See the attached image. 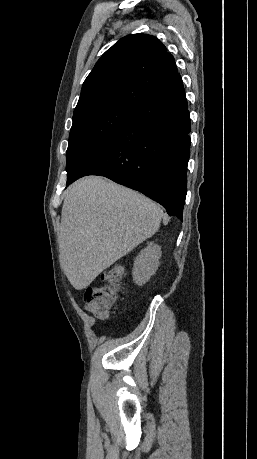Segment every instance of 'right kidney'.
Wrapping results in <instances>:
<instances>
[{
	"label": "right kidney",
	"instance_id": "1",
	"mask_svg": "<svg viewBox=\"0 0 257 459\" xmlns=\"http://www.w3.org/2000/svg\"><path fill=\"white\" fill-rule=\"evenodd\" d=\"M161 257V247L153 243L143 249L135 258L132 275L134 282L141 286L145 284L158 269Z\"/></svg>",
	"mask_w": 257,
	"mask_h": 459
}]
</instances>
